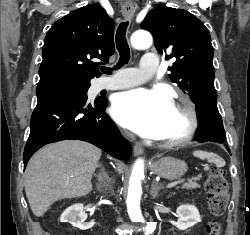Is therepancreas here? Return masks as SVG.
I'll list each match as a JSON object with an SVG mask.
<instances>
[{"instance_id":"obj_1","label":"pancreas","mask_w":250,"mask_h":235,"mask_svg":"<svg viewBox=\"0 0 250 235\" xmlns=\"http://www.w3.org/2000/svg\"><path fill=\"white\" fill-rule=\"evenodd\" d=\"M195 181L193 182H189V183H186L182 186L183 189H187V190H191V189H197L200 187L199 184H197V180H199V178H195L194 179Z\"/></svg>"}]
</instances>
